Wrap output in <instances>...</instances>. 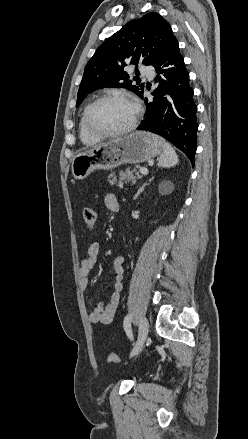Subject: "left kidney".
Instances as JSON below:
<instances>
[{"label": "left kidney", "mask_w": 248, "mask_h": 439, "mask_svg": "<svg viewBox=\"0 0 248 439\" xmlns=\"http://www.w3.org/2000/svg\"><path fill=\"white\" fill-rule=\"evenodd\" d=\"M172 189H173V184L171 182H169V181L162 182L159 185V192L162 195L170 193L172 191Z\"/></svg>", "instance_id": "1"}]
</instances>
